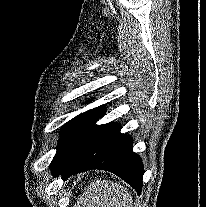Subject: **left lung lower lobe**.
<instances>
[{
	"label": "left lung lower lobe",
	"mask_w": 206,
	"mask_h": 207,
	"mask_svg": "<svg viewBox=\"0 0 206 207\" xmlns=\"http://www.w3.org/2000/svg\"><path fill=\"white\" fill-rule=\"evenodd\" d=\"M120 128L117 123L94 125L75 154L52 167L54 175L69 177L90 169L107 170L121 177L140 194L144 174L142 161L133 152L131 137L121 134Z\"/></svg>",
	"instance_id": "0a47b994"
}]
</instances>
